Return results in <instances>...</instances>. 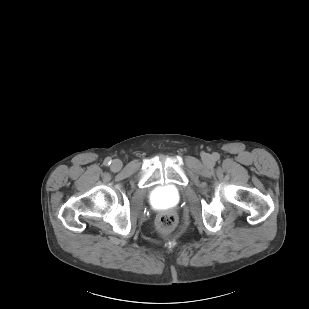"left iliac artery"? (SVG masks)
Masks as SVG:
<instances>
[{
  "label": "left iliac artery",
  "mask_w": 309,
  "mask_h": 309,
  "mask_svg": "<svg viewBox=\"0 0 309 309\" xmlns=\"http://www.w3.org/2000/svg\"><path fill=\"white\" fill-rule=\"evenodd\" d=\"M214 157H215V159H216V158H217V155H215Z\"/></svg>",
  "instance_id": "1"
}]
</instances>
